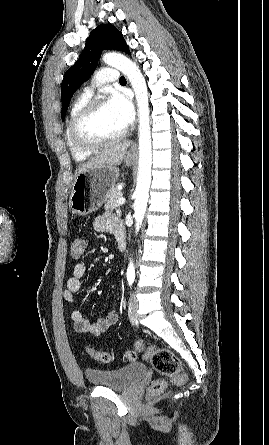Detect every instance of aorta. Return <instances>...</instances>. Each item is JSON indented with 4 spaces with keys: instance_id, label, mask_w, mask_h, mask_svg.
I'll return each mask as SVG.
<instances>
[{
    "instance_id": "aorta-1",
    "label": "aorta",
    "mask_w": 269,
    "mask_h": 445,
    "mask_svg": "<svg viewBox=\"0 0 269 445\" xmlns=\"http://www.w3.org/2000/svg\"><path fill=\"white\" fill-rule=\"evenodd\" d=\"M103 62L119 69L129 79L135 92L138 106V136H139V161L138 178L135 190L134 217L135 229L139 231L149 198L152 166V141L149 119L148 90L141 71L135 63L118 53H107L102 57ZM135 275L134 264L130 261L127 268V276Z\"/></svg>"
}]
</instances>
